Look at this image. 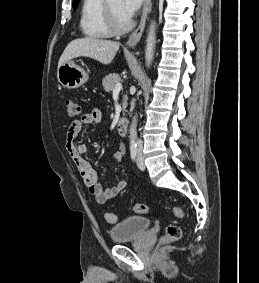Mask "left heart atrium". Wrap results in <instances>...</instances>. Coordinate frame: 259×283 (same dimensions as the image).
<instances>
[{
    "mask_svg": "<svg viewBox=\"0 0 259 283\" xmlns=\"http://www.w3.org/2000/svg\"><path fill=\"white\" fill-rule=\"evenodd\" d=\"M143 0H121V11L130 20L139 9Z\"/></svg>",
    "mask_w": 259,
    "mask_h": 283,
    "instance_id": "left-heart-atrium-1",
    "label": "left heart atrium"
}]
</instances>
